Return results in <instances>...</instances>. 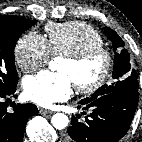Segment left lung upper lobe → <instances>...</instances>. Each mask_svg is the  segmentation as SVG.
<instances>
[{
    "mask_svg": "<svg viewBox=\"0 0 142 142\" xmlns=\"http://www.w3.org/2000/svg\"><path fill=\"white\" fill-rule=\"evenodd\" d=\"M105 33L112 41L114 51L117 48L124 47V42L114 30L106 27ZM113 79L114 81L110 85L105 84L101 86L90 98L85 99H95L127 87H138L137 73L131 67L130 55L126 49H122L121 52L118 51L115 54Z\"/></svg>",
    "mask_w": 142,
    "mask_h": 142,
    "instance_id": "1",
    "label": "left lung upper lobe"
}]
</instances>
